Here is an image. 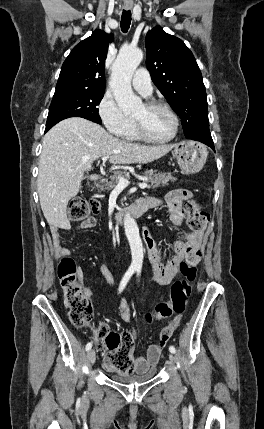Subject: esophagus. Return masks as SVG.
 Listing matches in <instances>:
<instances>
[{
	"instance_id": "obj_1",
	"label": "esophagus",
	"mask_w": 264,
	"mask_h": 429,
	"mask_svg": "<svg viewBox=\"0 0 264 429\" xmlns=\"http://www.w3.org/2000/svg\"><path fill=\"white\" fill-rule=\"evenodd\" d=\"M131 8H132V4H130V3L124 4V9L125 10H130Z\"/></svg>"
}]
</instances>
